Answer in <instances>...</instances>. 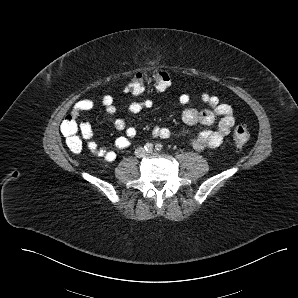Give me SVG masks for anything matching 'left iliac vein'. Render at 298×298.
Returning a JSON list of instances; mask_svg holds the SVG:
<instances>
[{"instance_id": "4c4485c4", "label": "left iliac vein", "mask_w": 298, "mask_h": 298, "mask_svg": "<svg viewBox=\"0 0 298 298\" xmlns=\"http://www.w3.org/2000/svg\"><path fill=\"white\" fill-rule=\"evenodd\" d=\"M147 154H148V155H150V154H154V152H152V151H149Z\"/></svg>"}]
</instances>
